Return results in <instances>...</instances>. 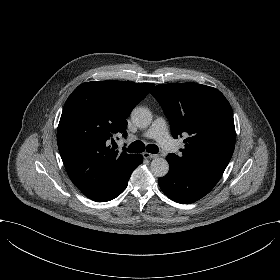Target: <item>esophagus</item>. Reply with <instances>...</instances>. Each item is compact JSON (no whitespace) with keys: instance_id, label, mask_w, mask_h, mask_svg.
<instances>
[{"instance_id":"34e87169","label":"esophagus","mask_w":280,"mask_h":280,"mask_svg":"<svg viewBox=\"0 0 280 280\" xmlns=\"http://www.w3.org/2000/svg\"><path fill=\"white\" fill-rule=\"evenodd\" d=\"M158 156H159L158 154H152V153H148V152L143 153V157L145 159H153V158H157Z\"/></svg>"}]
</instances>
